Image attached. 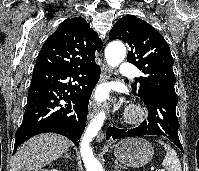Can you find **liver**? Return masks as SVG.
I'll use <instances>...</instances> for the list:
<instances>
[{"label":"liver","instance_id":"liver-1","mask_svg":"<svg viewBox=\"0 0 199 171\" xmlns=\"http://www.w3.org/2000/svg\"><path fill=\"white\" fill-rule=\"evenodd\" d=\"M71 146V141L56 133H44L24 142L15 153L13 171H39L58 159Z\"/></svg>","mask_w":199,"mask_h":171}]
</instances>
